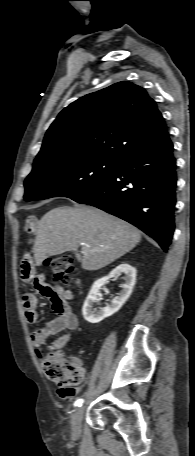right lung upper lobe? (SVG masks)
Here are the masks:
<instances>
[{
  "label": "right lung upper lobe",
  "mask_w": 195,
  "mask_h": 456,
  "mask_svg": "<svg viewBox=\"0 0 195 456\" xmlns=\"http://www.w3.org/2000/svg\"><path fill=\"white\" fill-rule=\"evenodd\" d=\"M169 141L155 101L142 87L123 81L63 109L47 130L33 166L67 157L120 161Z\"/></svg>",
  "instance_id": "1"
}]
</instances>
